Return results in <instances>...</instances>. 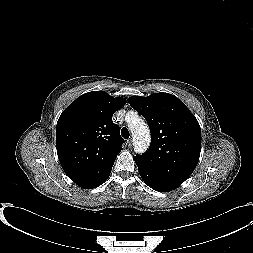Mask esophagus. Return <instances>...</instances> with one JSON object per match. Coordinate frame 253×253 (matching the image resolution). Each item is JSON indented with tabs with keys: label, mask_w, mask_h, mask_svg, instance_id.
<instances>
[{
	"label": "esophagus",
	"mask_w": 253,
	"mask_h": 253,
	"mask_svg": "<svg viewBox=\"0 0 253 253\" xmlns=\"http://www.w3.org/2000/svg\"><path fill=\"white\" fill-rule=\"evenodd\" d=\"M127 145H128V147H132V139L127 140Z\"/></svg>",
	"instance_id": "1"
}]
</instances>
